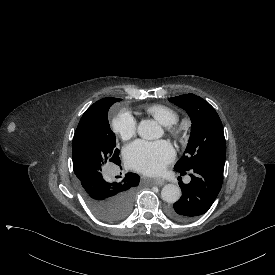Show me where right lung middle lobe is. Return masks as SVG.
Returning <instances> with one entry per match:
<instances>
[{
    "label": "right lung middle lobe",
    "instance_id": "right-lung-middle-lobe-1",
    "mask_svg": "<svg viewBox=\"0 0 275 275\" xmlns=\"http://www.w3.org/2000/svg\"><path fill=\"white\" fill-rule=\"evenodd\" d=\"M120 100L104 98L94 103L83 114L72 143L79 190L89 208L108 221H118L129 214L140 180L119 158L116 137L108 122L110 106Z\"/></svg>",
    "mask_w": 275,
    "mask_h": 275
}]
</instances>
